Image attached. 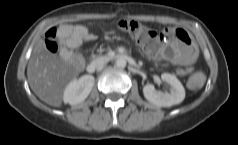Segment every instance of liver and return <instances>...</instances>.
Here are the masks:
<instances>
[{"label": "liver", "instance_id": "1", "mask_svg": "<svg viewBox=\"0 0 238 145\" xmlns=\"http://www.w3.org/2000/svg\"><path fill=\"white\" fill-rule=\"evenodd\" d=\"M86 32L83 26L61 25V40ZM84 68L82 59L61 47L59 55L51 53L40 40L34 47L27 66V77L32 91L45 103L54 107L62 105L65 86L75 79Z\"/></svg>", "mask_w": 238, "mask_h": 145}]
</instances>
